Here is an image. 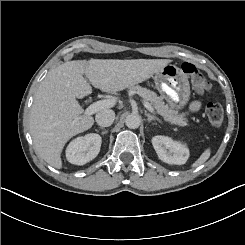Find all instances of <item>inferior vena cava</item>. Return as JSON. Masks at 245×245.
<instances>
[{
  "label": "inferior vena cava",
  "instance_id": "1",
  "mask_svg": "<svg viewBox=\"0 0 245 245\" xmlns=\"http://www.w3.org/2000/svg\"><path fill=\"white\" fill-rule=\"evenodd\" d=\"M115 119V112L111 109H102L95 115V120L100 126H109Z\"/></svg>",
  "mask_w": 245,
  "mask_h": 245
}]
</instances>
